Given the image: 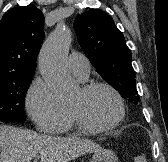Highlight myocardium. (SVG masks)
Returning a JSON list of instances; mask_svg holds the SVG:
<instances>
[{
	"label": "myocardium",
	"mask_w": 168,
	"mask_h": 162,
	"mask_svg": "<svg viewBox=\"0 0 168 162\" xmlns=\"http://www.w3.org/2000/svg\"><path fill=\"white\" fill-rule=\"evenodd\" d=\"M96 89L108 90L116 100V103L118 106V114L112 122H110L109 124H106V125H93V124L89 123L88 121H86L80 115V113L72 106H70V113H71L74 121L78 125V127L84 131L92 132V133L111 131V130L117 128L125 118L126 110H125L124 100L116 88H114L112 85L105 83V82H92V83L85 84L81 88L82 92H84V93H89V92L94 91Z\"/></svg>",
	"instance_id": "myocardium-1"
}]
</instances>
